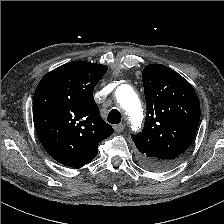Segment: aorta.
I'll use <instances>...</instances> for the list:
<instances>
[{
    "instance_id": "1",
    "label": "aorta",
    "mask_w": 224,
    "mask_h": 224,
    "mask_svg": "<svg viewBox=\"0 0 224 224\" xmlns=\"http://www.w3.org/2000/svg\"><path fill=\"white\" fill-rule=\"evenodd\" d=\"M116 98L120 108L127 116L132 130L139 129L143 120V111L134 89L130 85L123 84L117 88Z\"/></svg>"
}]
</instances>
